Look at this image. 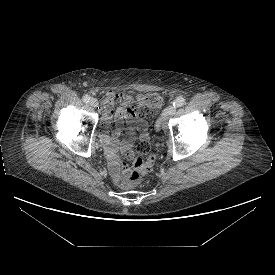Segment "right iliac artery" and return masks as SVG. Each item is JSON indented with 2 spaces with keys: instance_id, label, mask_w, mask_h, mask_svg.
<instances>
[{
  "instance_id": "82829eb1",
  "label": "right iliac artery",
  "mask_w": 275,
  "mask_h": 275,
  "mask_svg": "<svg viewBox=\"0 0 275 275\" xmlns=\"http://www.w3.org/2000/svg\"><path fill=\"white\" fill-rule=\"evenodd\" d=\"M83 101L85 102V103H88L89 101H90V96L89 95H84L83 96Z\"/></svg>"
}]
</instances>
